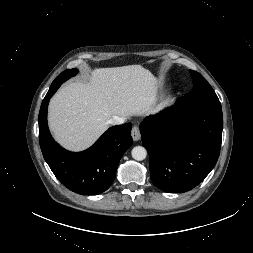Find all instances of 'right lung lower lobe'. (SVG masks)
Wrapping results in <instances>:
<instances>
[{"instance_id":"right-lung-lower-lobe-1","label":"right lung lower lobe","mask_w":253,"mask_h":253,"mask_svg":"<svg viewBox=\"0 0 253 253\" xmlns=\"http://www.w3.org/2000/svg\"><path fill=\"white\" fill-rule=\"evenodd\" d=\"M59 87L49 90L39 112V140L44 159L57 179L81 195H97L115 179L119 161L133 144L131 123L109 128L89 149L70 152L52 138L47 124L49 99Z\"/></svg>"}]
</instances>
